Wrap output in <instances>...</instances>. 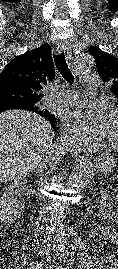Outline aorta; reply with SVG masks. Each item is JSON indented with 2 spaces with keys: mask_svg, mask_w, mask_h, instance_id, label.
I'll return each instance as SVG.
<instances>
[{
  "mask_svg": "<svg viewBox=\"0 0 118 269\" xmlns=\"http://www.w3.org/2000/svg\"><path fill=\"white\" fill-rule=\"evenodd\" d=\"M94 67V58L88 53H82L76 57L74 71L78 75L90 72ZM93 166L91 163H82L76 166L71 173L70 183L77 185L93 175Z\"/></svg>",
  "mask_w": 118,
  "mask_h": 269,
  "instance_id": "aorta-1",
  "label": "aorta"
}]
</instances>
